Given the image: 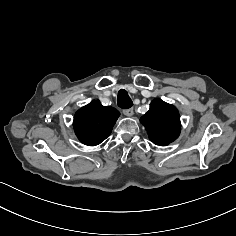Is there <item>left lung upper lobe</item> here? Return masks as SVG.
Listing matches in <instances>:
<instances>
[{
	"label": "left lung upper lobe",
	"instance_id": "5c2ea615",
	"mask_svg": "<svg viewBox=\"0 0 236 236\" xmlns=\"http://www.w3.org/2000/svg\"><path fill=\"white\" fill-rule=\"evenodd\" d=\"M140 122L146 128L149 139L159 146L176 140L181 130L178 110L161 99H154L150 103L149 110L140 118Z\"/></svg>",
	"mask_w": 236,
	"mask_h": 236
}]
</instances>
